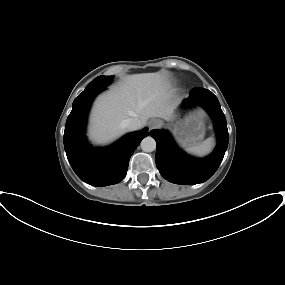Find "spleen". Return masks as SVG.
Listing matches in <instances>:
<instances>
[{
	"mask_svg": "<svg viewBox=\"0 0 285 285\" xmlns=\"http://www.w3.org/2000/svg\"><path fill=\"white\" fill-rule=\"evenodd\" d=\"M213 146L214 140L210 137L198 145L186 148V151L193 155L204 156L212 150Z\"/></svg>",
	"mask_w": 285,
	"mask_h": 285,
	"instance_id": "3e777b00",
	"label": "spleen"
}]
</instances>
